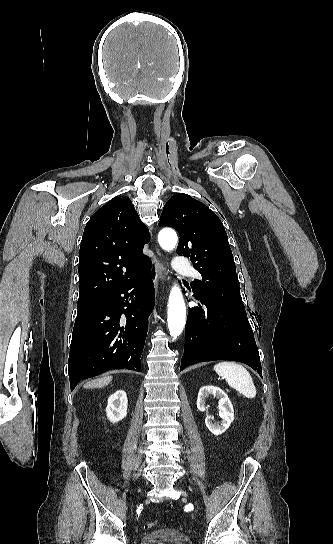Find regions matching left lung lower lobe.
Masks as SVG:
<instances>
[{
    "mask_svg": "<svg viewBox=\"0 0 333 544\" xmlns=\"http://www.w3.org/2000/svg\"><path fill=\"white\" fill-rule=\"evenodd\" d=\"M199 306L189 309L185 326V349L180 371L204 361L243 362L262 377L254 334L248 320L192 295Z\"/></svg>",
    "mask_w": 333,
    "mask_h": 544,
    "instance_id": "0a47b994",
    "label": "left lung lower lobe"
}]
</instances>
